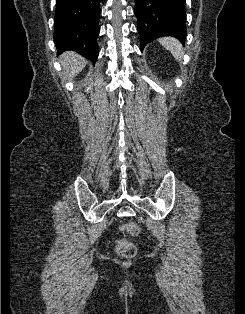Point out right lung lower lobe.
<instances>
[{
	"mask_svg": "<svg viewBox=\"0 0 245 314\" xmlns=\"http://www.w3.org/2000/svg\"><path fill=\"white\" fill-rule=\"evenodd\" d=\"M99 4L100 0H56L54 42L58 52L73 50L96 61Z\"/></svg>",
	"mask_w": 245,
	"mask_h": 314,
	"instance_id": "right-lung-lower-lobe-1",
	"label": "right lung lower lobe"
}]
</instances>
